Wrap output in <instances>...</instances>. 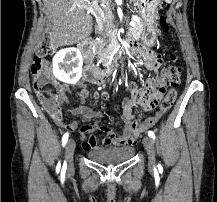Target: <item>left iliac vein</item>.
<instances>
[{
  "label": "left iliac vein",
  "instance_id": "left-iliac-vein-1",
  "mask_svg": "<svg viewBox=\"0 0 217 202\" xmlns=\"http://www.w3.org/2000/svg\"><path fill=\"white\" fill-rule=\"evenodd\" d=\"M143 144L148 154L149 166L153 167L155 165V147L154 142L151 137H144Z\"/></svg>",
  "mask_w": 217,
  "mask_h": 202
}]
</instances>
